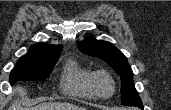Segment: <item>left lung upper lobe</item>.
Masks as SVG:
<instances>
[{"mask_svg":"<svg viewBox=\"0 0 171 110\" xmlns=\"http://www.w3.org/2000/svg\"><path fill=\"white\" fill-rule=\"evenodd\" d=\"M78 48L84 54L95 56L107 62L121 77V102L123 105L142 107V101L134 87L133 72L125 55L107 41L87 37L78 42Z\"/></svg>","mask_w":171,"mask_h":110,"instance_id":"1","label":"left lung upper lobe"}]
</instances>
